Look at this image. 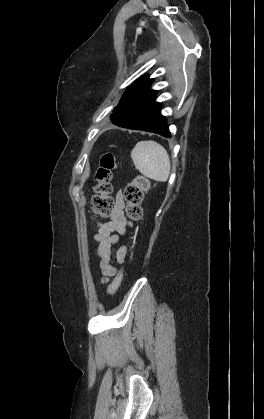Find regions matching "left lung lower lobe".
<instances>
[{
  "label": "left lung lower lobe",
  "mask_w": 264,
  "mask_h": 419,
  "mask_svg": "<svg viewBox=\"0 0 264 419\" xmlns=\"http://www.w3.org/2000/svg\"><path fill=\"white\" fill-rule=\"evenodd\" d=\"M156 91L148 87L142 95L127 104L122 115L110 118L112 123L123 128L142 130L170 137L166 118L161 115V104L155 101Z\"/></svg>",
  "instance_id": "0a47b994"
}]
</instances>
